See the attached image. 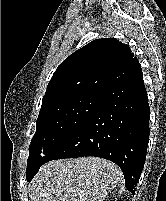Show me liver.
Listing matches in <instances>:
<instances>
[{"label":"liver","instance_id":"1","mask_svg":"<svg viewBox=\"0 0 166 201\" xmlns=\"http://www.w3.org/2000/svg\"><path fill=\"white\" fill-rule=\"evenodd\" d=\"M118 166L98 157L50 161L31 184L32 201H104L122 181Z\"/></svg>","mask_w":166,"mask_h":201}]
</instances>
